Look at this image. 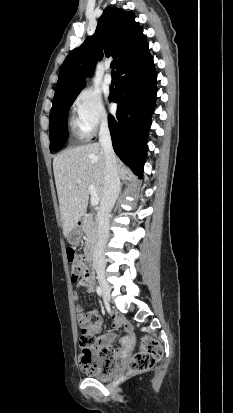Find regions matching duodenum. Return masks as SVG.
<instances>
[{"label":"duodenum","instance_id":"410a0bca","mask_svg":"<svg viewBox=\"0 0 233 413\" xmlns=\"http://www.w3.org/2000/svg\"><path fill=\"white\" fill-rule=\"evenodd\" d=\"M77 224H78V225H81L82 222L79 221ZM93 256H94V247H93V246H89V247L87 248V250H86V258H87V261L91 262V261L93 260Z\"/></svg>","mask_w":233,"mask_h":413}]
</instances>
